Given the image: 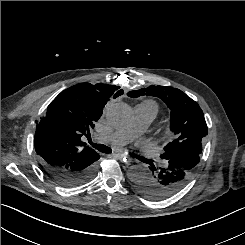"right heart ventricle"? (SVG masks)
Here are the masks:
<instances>
[{
  "label": "right heart ventricle",
  "instance_id": "e07e8e85",
  "mask_svg": "<svg viewBox=\"0 0 245 245\" xmlns=\"http://www.w3.org/2000/svg\"><path fill=\"white\" fill-rule=\"evenodd\" d=\"M141 104H144V105L153 107V108H155V109L157 110V112H158V106H157L156 102H154L153 100H145V101L142 102Z\"/></svg>",
  "mask_w": 245,
  "mask_h": 245
}]
</instances>
